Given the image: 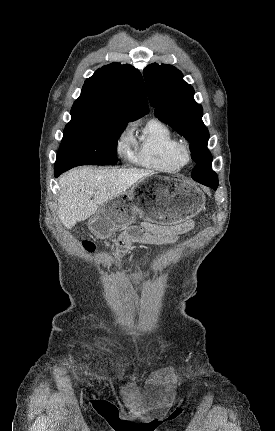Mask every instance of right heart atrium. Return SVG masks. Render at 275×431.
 <instances>
[{"mask_svg":"<svg viewBox=\"0 0 275 431\" xmlns=\"http://www.w3.org/2000/svg\"><path fill=\"white\" fill-rule=\"evenodd\" d=\"M132 143H133V136H132L131 129H127L121 134L118 140L119 151L126 152Z\"/></svg>","mask_w":275,"mask_h":431,"instance_id":"d8ad5b80","label":"right heart atrium"}]
</instances>
